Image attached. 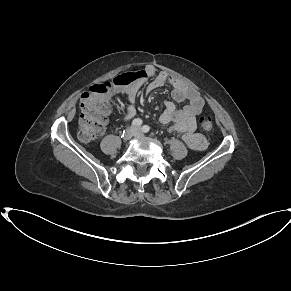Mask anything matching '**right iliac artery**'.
I'll list each match as a JSON object with an SVG mask.
<instances>
[{
  "instance_id": "right-iliac-artery-1",
  "label": "right iliac artery",
  "mask_w": 291,
  "mask_h": 291,
  "mask_svg": "<svg viewBox=\"0 0 291 291\" xmlns=\"http://www.w3.org/2000/svg\"><path fill=\"white\" fill-rule=\"evenodd\" d=\"M132 125H133V126H141V125H142V120L139 119V118L134 119V120L132 121Z\"/></svg>"
}]
</instances>
